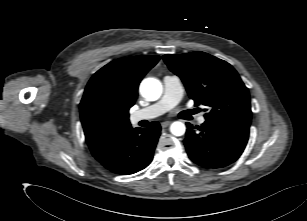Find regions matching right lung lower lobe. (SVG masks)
Masks as SVG:
<instances>
[{"instance_id": "98d812e1", "label": "right lung lower lobe", "mask_w": 307, "mask_h": 221, "mask_svg": "<svg viewBox=\"0 0 307 221\" xmlns=\"http://www.w3.org/2000/svg\"><path fill=\"white\" fill-rule=\"evenodd\" d=\"M160 130L156 121L152 122L149 128H130L92 154L106 169L115 174L136 173L152 161Z\"/></svg>"}]
</instances>
